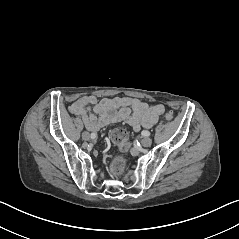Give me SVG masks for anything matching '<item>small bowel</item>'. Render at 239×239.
Returning <instances> with one entry per match:
<instances>
[{
    "label": "small bowel",
    "mask_w": 239,
    "mask_h": 239,
    "mask_svg": "<svg viewBox=\"0 0 239 239\" xmlns=\"http://www.w3.org/2000/svg\"><path fill=\"white\" fill-rule=\"evenodd\" d=\"M70 111L82 119L89 131L96 132L104 126L121 121L139 131L156 124L165 109L162 105H150L131 97L99 100L88 95L77 99L71 105Z\"/></svg>",
    "instance_id": "small-bowel-1"
}]
</instances>
